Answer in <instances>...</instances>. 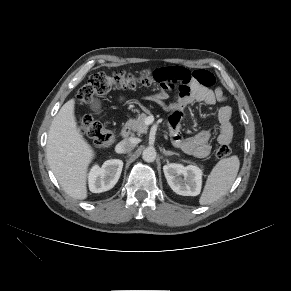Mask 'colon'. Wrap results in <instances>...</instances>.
<instances>
[{"mask_svg":"<svg viewBox=\"0 0 291 291\" xmlns=\"http://www.w3.org/2000/svg\"><path fill=\"white\" fill-rule=\"evenodd\" d=\"M198 76L202 81L207 79L205 73H199ZM154 83H166L165 78H162L157 70L145 69L138 74L125 71H117L112 74L98 72L93 74L88 82L82 86L78 92L77 100L80 104H86L96 96L105 95L112 90L132 89L137 85L149 86ZM175 85L174 82H168L169 88ZM78 127L98 148L106 147L114 140L113 133L90 115L81 116L78 120ZM231 153L232 150L227 144H221L215 151L218 158H227Z\"/></svg>","mask_w":291,"mask_h":291,"instance_id":"colon-1","label":"colon"}]
</instances>
